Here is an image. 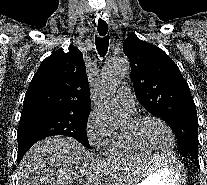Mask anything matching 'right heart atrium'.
Returning a JSON list of instances; mask_svg holds the SVG:
<instances>
[{
    "label": "right heart atrium",
    "mask_w": 207,
    "mask_h": 185,
    "mask_svg": "<svg viewBox=\"0 0 207 185\" xmlns=\"http://www.w3.org/2000/svg\"><path fill=\"white\" fill-rule=\"evenodd\" d=\"M114 134L108 119L99 109H93L87 120L86 136L89 144L94 149H102Z\"/></svg>",
    "instance_id": "d8ad5b80"
}]
</instances>
